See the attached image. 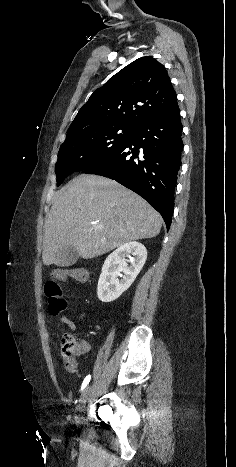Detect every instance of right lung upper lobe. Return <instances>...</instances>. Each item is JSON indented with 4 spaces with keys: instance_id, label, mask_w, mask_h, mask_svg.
I'll return each instance as SVG.
<instances>
[{
    "instance_id": "cb5924a9",
    "label": "right lung upper lobe",
    "mask_w": 236,
    "mask_h": 467,
    "mask_svg": "<svg viewBox=\"0 0 236 467\" xmlns=\"http://www.w3.org/2000/svg\"><path fill=\"white\" fill-rule=\"evenodd\" d=\"M176 103L165 67L151 56L141 57L90 96L67 135L115 125L136 128Z\"/></svg>"
}]
</instances>
